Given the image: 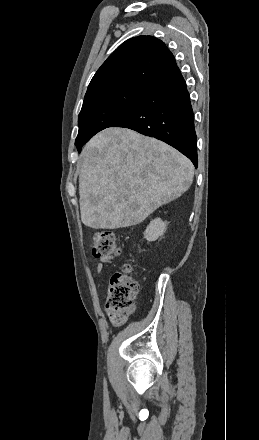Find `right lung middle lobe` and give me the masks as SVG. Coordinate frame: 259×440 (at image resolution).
Here are the masks:
<instances>
[{
    "instance_id": "right-lung-middle-lobe-1",
    "label": "right lung middle lobe",
    "mask_w": 259,
    "mask_h": 440,
    "mask_svg": "<svg viewBox=\"0 0 259 440\" xmlns=\"http://www.w3.org/2000/svg\"><path fill=\"white\" fill-rule=\"evenodd\" d=\"M148 89L128 88L103 94L83 103L78 116L79 132L75 141L78 151L96 133L109 127L129 112Z\"/></svg>"
}]
</instances>
